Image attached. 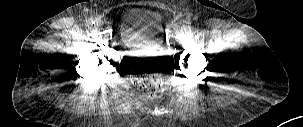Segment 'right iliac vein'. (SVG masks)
<instances>
[{"label": "right iliac vein", "instance_id": "right-iliac-vein-1", "mask_svg": "<svg viewBox=\"0 0 303 127\" xmlns=\"http://www.w3.org/2000/svg\"><path fill=\"white\" fill-rule=\"evenodd\" d=\"M95 25H96L97 27H101V26L103 25V21H102L101 19L97 18V19L95 20Z\"/></svg>", "mask_w": 303, "mask_h": 127}]
</instances>
